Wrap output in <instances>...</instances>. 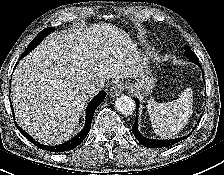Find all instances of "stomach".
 <instances>
[{"mask_svg":"<svg viewBox=\"0 0 224 175\" xmlns=\"http://www.w3.org/2000/svg\"><path fill=\"white\" fill-rule=\"evenodd\" d=\"M155 80L148 63L145 60H140V73L130 84V88L135 89L138 93L149 94L155 87Z\"/></svg>","mask_w":224,"mask_h":175,"instance_id":"1","label":"stomach"}]
</instances>
